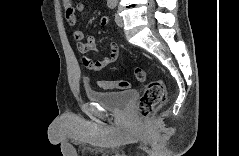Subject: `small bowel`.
Returning <instances> with one entry per match:
<instances>
[{"instance_id": "small-bowel-1", "label": "small bowel", "mask_w": 239, "mask_h": 156, "mask_svg": "<svg viewBox=\"0 0 239 156\" xmlns=\"http://www.w3.org/2000/svg\"><path fill=\"white\" fill-rule=\"evenodd\" d=\"M62 5L65 11L66 21L68 22L69 25L75 26L77 22L76 14L78 12H81L85 8L84 2L73 3L70 0H64L62 2ZM108 23L109 21L107 18L101 19L102 26H107ZM73 38L77 41V48L81 53L86 54L89 51H96L94 34L90 35L86 41H83L84 40L83 32L80 29H74ZM118 55H119L118 45L115 42H110L109 54L105 58L101 60H96L90 58L89 56H84L83 64L88 70L100 71L103 68L115 63V61L118 58Z\"/></svg>"}]
</instances>
